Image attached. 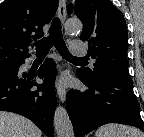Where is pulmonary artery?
Listing matches in <instances>:
<instances>
[{
	"label": "pulmonary artery",
	"mask_w": 144,
	"mask_h": 137,
	"mask_svg": "<svg viewBox=\"0 0 144 137\" xmlns=\"http://www.w3.org/2000/svg\"><path fill=\"white\" fill-rule=\"evenodd\" d=\"M71 51L75 55H85L86 47L82 41H71L70 42Z\"/></svg>",
	"instance_id": "e3ab8cb5"
}]
</instances>
